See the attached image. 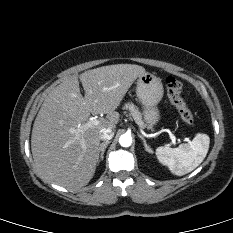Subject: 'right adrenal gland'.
<instances>
[{
    "instance_id": "2a0ac1e0",
    "label": "right adrenal gland",
    "mask_w": 233,
    "mask_h": 233,
    "mask_svg": "<svg viewBox=\"0 0 233 233\" xmlns=\"http://www.w3.org/2000/svg\"><path fill=\"white\" fill-rule=\"evenodd\" d=\"M108 144H110V141H105V142L101 143V145H100V160L101 161L104 158V152H105Z\"/></svg>"
}]
</instances>
